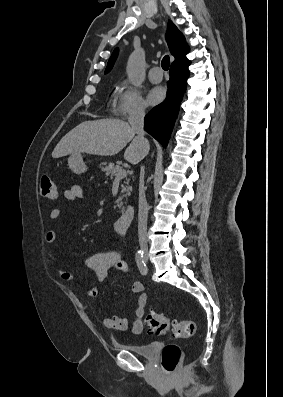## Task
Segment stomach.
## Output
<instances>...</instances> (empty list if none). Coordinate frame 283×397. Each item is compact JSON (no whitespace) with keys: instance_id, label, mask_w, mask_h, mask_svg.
<instances>
[{"instance_id":"1","label":"stomach","mask_w":283,"mask_h":397,"mask_svg":"<svg viewBox=\"0 0 283 397\" xmlns=\"http://www.w3.org/2000/svg\"><path fill=\"white\" fill-rule=\"evenodd\" d=\"M70 170L75 174H82L87 170L81 154H72L68 159Z\"/></svg>"}]
</instances>
